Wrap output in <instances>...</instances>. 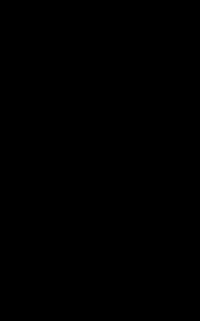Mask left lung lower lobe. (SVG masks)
<instances>
[{"label":"left lung lower lobe","mask_w":200,"mask_h":321,"mask_svg":"<svg viewBox=\"0 0 200 321\" xmlns=\"http://www.w3.org/2000/svg\"><path fill=\"white\" fill-rule=\"evenodd\" d=\"M173 183L156 177L129 184L119 191L112 204L119 218L128 223L142 222L157 214L167 202Z\"/></svg>","instance_id":"left-lung-lower-lobe-1"}]
</instances>
